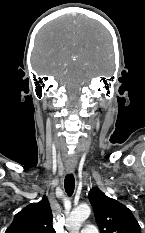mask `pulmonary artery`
I'll return each mask as SVG.
<instances>
[{
  "label": "pulmonary artery",
  "instance_id": "e3ab8cb5",
  "mask_svg": "<svg viewBox=\"0 0 145 233\" xmlns=\"http://www.w3.org/2000/svg\"><path fill=\"white\" fill-rule=\"evenodd\" d=\"M80 233H98V230L95 226L89 225L83 228Z\"/></svg>",
  "mask_w": 145,
  "mask_h": 233
}]
</instances>
